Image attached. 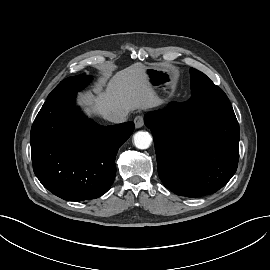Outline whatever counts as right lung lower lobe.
<instances>
[{
  "label": "right lung lower lobe",
  "instance_id": "obj_1",
  "mask_svg": "<svg viewBox=\"0 0 270 270\" xmlns=\"http://www.w3.org/2000/svg\"><path fill=\"white\" fill-rule=\"evenodd\" d=\"M75 97L44 103L31 128V158L46 189L64 200L83 201L109 190L116 154L134 124L100 126L74 108Z\"/></svg>",
  "mask_w": 270,
  "mask_h": 270
}]
</instances>
